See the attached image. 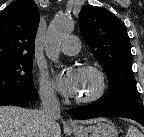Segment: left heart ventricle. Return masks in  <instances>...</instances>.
Returning <instances> with one entry per match:
<instances>
[{
	"label": "left heart ventricle",
	"instance_id": "b2bd125f",
	"mask_svg": "<svg viewBox=\"0 0 144 137\" xmlns=\"http://www.w3.org/2000/svg\"><path fill=\"white\" fill-rule=\"evenodd\" d=\"M79 76H80L79 91L76 97H84L91 94L97 85L95 76L90 72L80 70H79Z\"/></svg>",
	"mask_w": 144,
	"mask_h": 137
}]
</instances>
